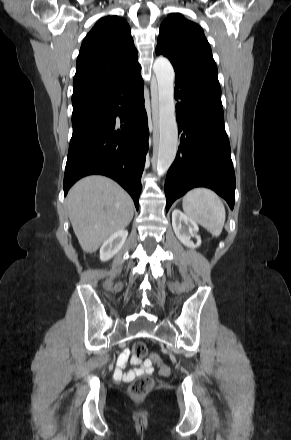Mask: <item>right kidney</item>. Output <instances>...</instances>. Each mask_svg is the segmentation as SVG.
Masks as SVG:
<instances>
[{
	"instance_id": "1",
	"label": "right kidney",
	"mask_w": 291,
	"mask_h": 440,
	"mask_svg": "<svg viewBox=\"0 0 291 440\" xmlns=\"http://www.w3.org/2000/svg\"><path fill=\"white\" fill-rule=\"evenodd\" d=\"M128 231L121 229L112 234L100 248V260L107 261L117 254L124 245Z\"/></svg>"
}]
</instances>
